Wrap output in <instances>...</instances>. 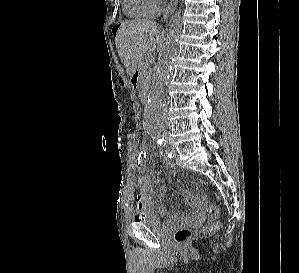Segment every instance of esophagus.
<instances>
[{
  "label": "esophagus",
  "mask_w": 299,
  "mask_h": 273,
  "mask_svg": "<svg viewBox=\"0 0 299 273\" xmlns=\"http://www.w3.org/2000/svg\"><path fill=\"white\" fill-rule=\"evenodd\" d=\"M177 3H178V0H170L167 8L164 10V13H163V19L164 20H167L170 13H172L175 10V8L177 6Z\"/></svg>",
  "instance_id": "obj_1"
}]
</instances>
